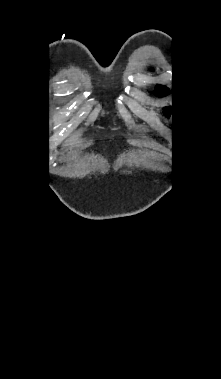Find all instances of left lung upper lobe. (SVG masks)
Wrapping results in <instances>:
<instances>
[{"label":"left lung upper lobe","mask_w":221,"mask_h":379,"mask_svg":"<svg viewBox=\"0 0 221 379\" xmlns=\"http://www.w3.org/2000/svg\"><path fill=\"white\" fill-rule=\"evenodd\" d=\"M167 93H168V88H167V87H165V86H160V85H158V86L155 87V94H156L157 96L164 95V94H167ZM164 112H165L166 115L169 116L171 110H170V108H166V109L164 110Z\"/></svg>","instance_id":"obj_1"}]
</instances>
